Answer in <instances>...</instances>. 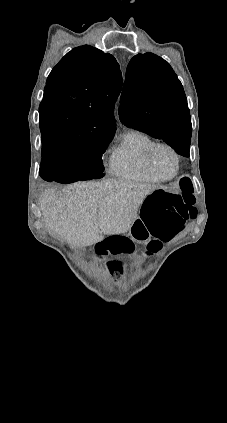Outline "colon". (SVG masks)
<instances>
[{"label": "colon", "mask_w": 227, "mask_h": 423, "mask_svg": "<svg viewBox=\"0 0 227 423\" xmlns=\"http://www.w3.org/2000/svg\"><path fill=\"white\" fill-rule=\"evenodd\" d=\"M193 187L190 180L184 178L180 184V191L173 192L165 188L150 191L144 198L140 219L145 223L149 232L161 241L170 240L178 233L186 221L196 216L194 207ZM132 239L139 238L142 230L135 226L131 231ZM124 236H111L100 242L96 250L103 255H118L133 250V240ZM155 244H149V250L154 251ZM120 262H112L110 270L117 274Z\"/></svg>", "instance_id": "1"}]
</instances>
